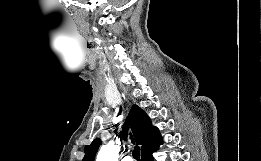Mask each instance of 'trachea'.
<instances>
[{
  "label": "trachea",
  "instance_id": "1",
  "mask_svg": "<svg viewBox=\"0 0 261 161\" xmlns=\"http://www.w3.org/2000/svg\"><path fill=\"white\" fill-rule=\"evenodd\" d=\"M131 139H132V141H134L132 136H131ZM132 155L136 161H140V149L138 146H135V148L132 152Z\"/></svg>",
  "mask_w": 261,
  "mask_h": 161
}]
</instances>
